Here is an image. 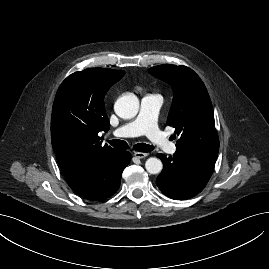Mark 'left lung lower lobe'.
<instances>
[{"instance_id":"obj_1","label":"left lung lower lobe","mask_w":269,"mask_h":269,"mask_svg":"<svg viewBox=\"0 0 269 269\" xmlns=\"http://www.w3.org/2000/svg\"><path fill=\"white\" fill-rule=\"evenodd\" d=\"M218 152L177 148L173 156L157 154L163 170L156 179L160 191L175 200L189 199L200 193L208 183Z\"/></svg>"}]
</instances>
